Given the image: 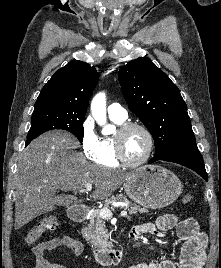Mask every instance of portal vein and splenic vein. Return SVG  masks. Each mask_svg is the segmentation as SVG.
Wrapping results in <instances>:
<instances>
[{
    "label": "portal vein and splenic vein",
    "mask_w": 221,
    "mask_h": 268,
    "mask_svg": "<svg viewBox=\"0 0 221 268\" xmlns=\"http://www.w3.org/2000/svg\"><path fill=\"white\" fill-rule=\"evenodd\" d=\"M91 190H92V184L88 183V184L85 185L84 189L79 190V193H84V192H88V191H91ZM120 214H121V216H126L127 215L126 209H123L120 212ZM99 215H100V217H102L104 219H110L113 216L111 210L108 209V208L99 209Z\"/></svg>",
    "instance_id": "obj_1"
}]
</instances>
